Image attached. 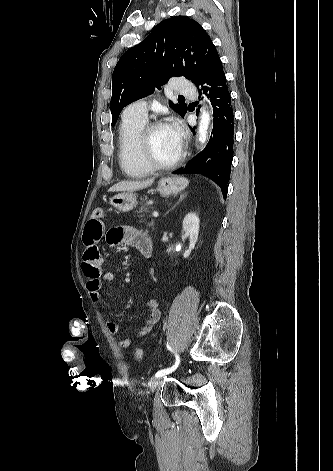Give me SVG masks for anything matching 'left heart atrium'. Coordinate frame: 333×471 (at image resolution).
Here are the masks:
<instances>
[{
    "mask_svg": "<svg viewBox=\"0 0 333 471\" xmlns=\"http://www.w3.org/2000/svg\"><path fill=\"white\" fill-rule=\"evenodd\" d=\"M166 127L168 129V132H169L170 137L173 140V142L178 147H181L182 142H183V135H182V132H181L180 128L174 123L168 124V125H166Z\"/></svg>",
    "mask_w": 333,
    "mask_h": 471,
    "instance_id": "39dd6f15",
    "label": "left heart atrium"
}]
</instances>
